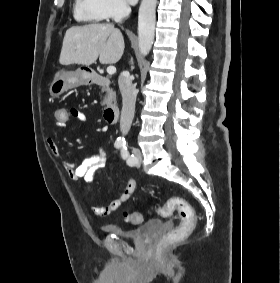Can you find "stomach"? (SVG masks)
<instances>
[{
	"label": "stomach",
	"mask_w": 280,
	"mask_h": 283,
	"mask_svg": "<svg viewBox=\"0 0 280 283\" xmlns=\"http://www.w3.org/2000/svg\"><path fill=\"white\" fill-rule=\"evenodd\" d=\"M91 74L87 69L79 68L76 71L59 70L49 87V93L52 97H59L68 89L81 85H89Z\"/></svg>",
	"instance_id": "1"
}]
</instances>
